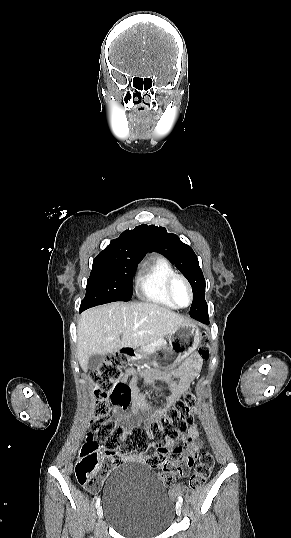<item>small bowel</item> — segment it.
Listing matches in <instances>:
<instances>
[{"label":"small bowel","instance_id":"c3829d8e","mask_svg":"<svg viewBox=\"0 0 291 538\" xmlns=\"http://www.w3.org/2000/svg\"><path fill=\"white\" fill-rule=\"evenodd\" d=\"M185 363H178L176 369H173L171 376L169 374L154 373L144 377L148 384H153L157 379H161L168 388L165 402L161 406L153 408L146 400L145 395L138 389V377L134 376L132 370H127L121 382L128 385L132 395V406L130 412L122 411L117 404L112 407V413L116 421L122 425L126 431H129L133 425L145 417L150 419L161 418L167 410L190 388V385L196 376H199L202 367L198 354H187ZM179 440L187 451V457H196L201 447L200 433L196 423L192 424L189 430L179 436ZM151 456L145 455H120L119 460L123 463H140L148 467V460ZM155 468V467H152ZM191 466L185 461L175 465L177 473L186 476Z\"/></svg>","mask_w":291,"mask_h":538}]
</instances>
